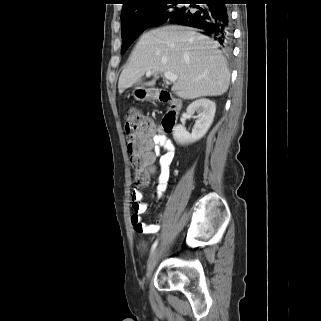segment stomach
Segmentation results:
<instances>
[{"instance_id":"stomach-1","label":"stomach","mask_w":321,"mask_h":321,"mask_svg":"<svg viewBox=\"0 0 321 321\" xmlns=\"http://www.w3.org/2000/svg\"><path fill=\"white\" fill-rule=\"evenodd\" d=\"M134 96L136 99L143 100L149 97V91L144 88H136L134 90Z\"/></svg>"}]
</instances>
